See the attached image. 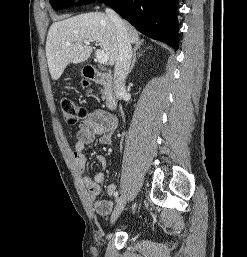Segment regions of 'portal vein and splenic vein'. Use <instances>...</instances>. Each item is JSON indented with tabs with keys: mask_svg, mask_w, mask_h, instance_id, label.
Here are the masks:
<instances>
[{
	"mask_svg": "<svg viewBox=\"0 0 247 257\" xmlns=\"http://www.w3.org/2000/svg\"><path fill=\"white\" fill-rule=\"evenodd\" d=\"M84 44L85 45H89L90 44V41L88 40H85L84 41ZM67 46H70L71 44L70 43H66ZM96 58H97V61L100 63V64H106L108 62V56L102 51V50H96Z\"/></svg>",
	"mask_w": 247,
	"mask_h": 257,
	"instance_id": "obj_1",
	"label": "portal vein and splenic vein"
}]
</instances>
